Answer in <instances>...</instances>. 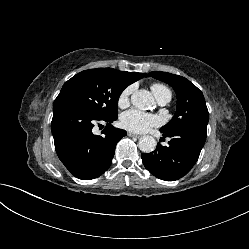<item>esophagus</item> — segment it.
I'll use <instances>...</instances> for the list:
<instances>
[{
	"instance_id": "34e87169",
	"label": "esophagus",
	"mask_w": 249,
	"mask_h": 249,
	"mask_svg": "<svg viewBox=\"0 0 249 249\" xmlns=\"http://www.w3.org/2000/svg\"><path fill=\"white\" fill-rule=\"evenodd\" d=\"M128 136L129 137H140L139 135L135 134V133H131V132H128Z\"/></svg>"
}]
</instances>
